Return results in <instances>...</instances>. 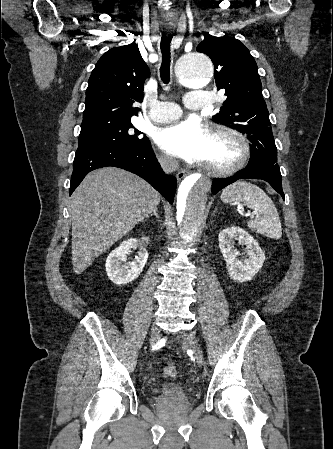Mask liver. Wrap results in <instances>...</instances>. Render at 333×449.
I'll list each match as a JSON object with an SVG mask.
<instances>
[{"mask_svg": "<svg viewBox=\"0 0 333 449\" xmlns=\"http://www.w3.org/2000/svg\"><path fill=\"white\" fill-rule=\"evenodd\" d=\"M160 194L128 171L105 167L89 173L71 196L72 263L82 273L160 203Z\"/></svg>", "mask_w": 333, "mask_h": 449, "instance_id": "liver-1", "label": "liver"}]
</instances>
